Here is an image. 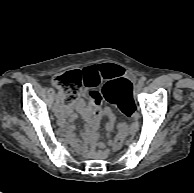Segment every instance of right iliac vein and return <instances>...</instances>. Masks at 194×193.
<instances>
[{
	"instance_id": "63e3f726",
	"label": "right iliac vein",
	"mask_w": 194,
	"mask_h": 193,
	"mask_svg": "<svg viewBox=\"0 0 194 193\" xmlns=\"http://www.w3.org/2000/svg\"><path fill=\"white\" fill-rule=\"evenodd\" d=\"M58 99H59L60 101H62V99H63V93H62V92H59V93H58ZM56 115H57V117H60L59 112H57Z\"/></svg>"
}]
</instances>
